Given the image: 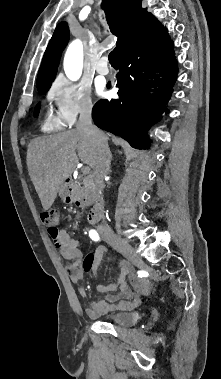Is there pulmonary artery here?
Segmentation results:
<instances>
[{
  "instance_id": "e3ab8cb5",
  "label": "pulmonary artery",
  "mask_w": 221,
  "mask_h": 379,
  "mask_svg": "<svg viewBox=\"0 0 221 379\" xmlns=\"http://www.w3.org/2000/svg\"><path fill=\"white\" fill-rule=\"evenodd\" d=\"M96 71L100 75H107L110 72L107 57L103 56L99 59L96 65Z\"/></svg>"
}]
</instances>
